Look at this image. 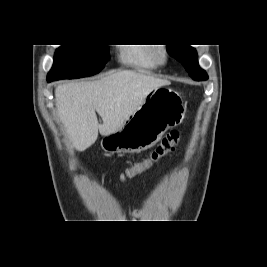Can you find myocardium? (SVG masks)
I'll list each match as a JSON object with an SVG mask.
<instances>
[{
	"label": "myocardium",
	"mask_w": 267,
	"mask_h": 267,
	"mask_svg": "<svg viewBox=\"0 0 267 267\" xmlns=\"http://www.w3.org/2000/svg\"><path fill=\"white\" fill-rule=\"evenodd\" d=\"M153 56L157 64H164L169 58L167 49L165 47L155 48Z\"/></svg>",
	"instance_id": "myocardium-1"
}]
</instances>
